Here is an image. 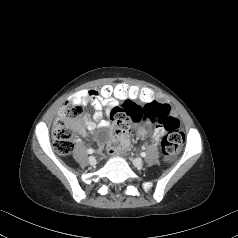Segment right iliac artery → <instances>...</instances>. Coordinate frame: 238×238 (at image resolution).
<instances>
[{"label":"right iliac artery","instance_id":"1","mask_svg":"<svg viewBox=\"0 0 238 238\" xmlns=\"http://www.w3.org/2000/svg\"><path fill=\"white\" fill-rule=\"evenodd\" d=\"M87 152H88V154H92L94 152V150L93 149H88Z\"/></svg>","mask_w":238,"mask_h":238}]
</instances>
